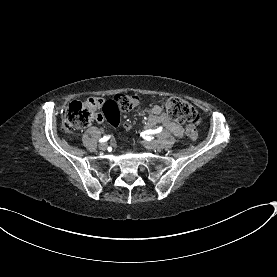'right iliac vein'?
<instances>
[{"label":"right iliac vein","instance_id":"63e3f726","mask_svg":"<svg viewBox=\"0 0 277 277\" xmlns=\"http://www.w3.org/2000/svg\"><path fill=\"white\" fill-rule=\"evenodd\" d=\"M99 149L102 150V151H105L107 149V144L106 143H101L99 145Z\"/></svg>","mask_w":277,"mask_h":277}]
</instances>
